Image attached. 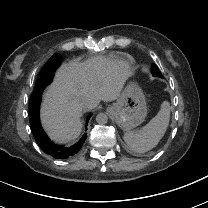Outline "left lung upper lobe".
<instances>
[{
    "mask_svg": "<svg viewBox=\"0 0 208 208\" xmlns=\"http://www.w3.org/2000/svg\"><path fill=\"white\" fill-rule=\"evenodd\" d=\"M151 71H152L153 76L163 78V75L161 74V72L159 71L158 67L155 64L152 65Z\"/></svg>",
    "mask_w": 208,
    "mask_h": 208,
    "instance_id": "left-lung-upper-lobe-1",
    "label": "left lung upper lobe"
}]
</instances>
